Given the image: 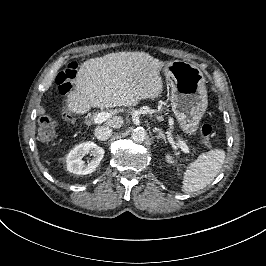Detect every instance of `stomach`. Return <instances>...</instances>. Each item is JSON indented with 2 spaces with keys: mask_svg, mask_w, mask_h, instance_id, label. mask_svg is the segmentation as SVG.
<instances>
[{
  "mask_svg": "<svg viewBox=\"0 0 266 266\" xmlns=\"http://www.w3.org/2000/svg\"><path fill=\"white\" fill-rule=\"evenodd\" d=\"M164 73L171 86V108L180 131L193 138L208 107L205 77L198 67L182 61L169 62Z\"/></svg>",
  "mask_w": 266,
  "mask_h": 266,
  "instance_id": "stomach-1",
  "label": "stomach"
}]
</instances>
